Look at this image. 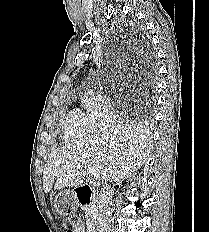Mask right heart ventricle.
<instances>
[{"instance_id":"1","label":"right heart ventricle","mask_w":209,"mask_h":232,"mask_svg":"<svg viewBox=\"0 0 209 232\" xmlns=\"http://www.w3.org/2000/svg\"><path fill=\"white\" fill-rule=\"evenodd\" d=\"M62 130L67 141L83 139L92 133L87 114L75 107L66 114Z\"/></svg>"}]
</instances>
